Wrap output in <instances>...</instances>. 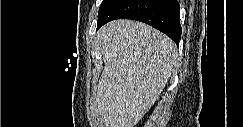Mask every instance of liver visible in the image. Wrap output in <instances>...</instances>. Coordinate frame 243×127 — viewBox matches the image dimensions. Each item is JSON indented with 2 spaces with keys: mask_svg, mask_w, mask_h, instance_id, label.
Instances as JSON below:
<instances>
[{
  "mask_svg": "<svg viewBox=\"0 0 243 127\" xmlns=\"http://www.w3.org/2000/svg\"><path fill=\"white\" fill-rule=\"evenodd\" d=\"M104 70L95 106L104 127H134L158 100L176 63L175 43L141 22L114 20L99 31Z\"/></svg>",
  "mask_w": 243,
  "mask_h": 127,
  "instance_id": "1",
  "label": "liver"
}]
</instances>
